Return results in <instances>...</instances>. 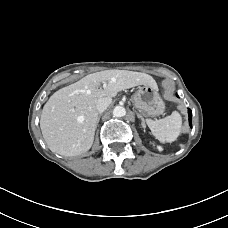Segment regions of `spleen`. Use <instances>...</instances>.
<instances>
[{
    "mask_svg": "<svg viewBox=\"0 0 228 228\" xmlns=\"http://www.w3.org/2000/svg\"><path fill=\"white\" fill-rule=\"evenodd\" d=\"M152 134L160 142H173L180 134L182 126L181 115L173 111L171 115L160 120H146Z\"/></svg>",
    "mask_w": 228,
    "mask_h": 228,
    "instance_id": "3e777b00",
    "label": "spleen"
}]
</instances>
